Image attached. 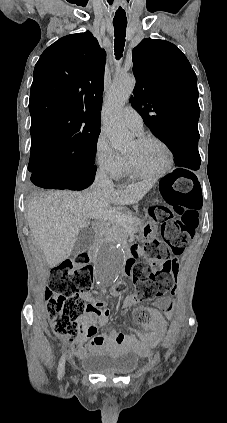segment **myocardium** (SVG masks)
<instances>
[{
    "instance_id": "f54148a6",
    "label": "myocardium",
    "mask_w": 227,
    "mask_h": 423,
    "mask_svg": "<svg viewBox=\"0 0 227 423\" xmlns=\"http://www.w3.org/2000/svg\"><path fill=\"white\" fill-rule=\"evenodd\" d=\"M136 142L138 144H146L149 142H156L159 145H161L163 147V149L166 151L167 153V162L166 165L164 166V168L159 171L158 173L155 174H149V173H144L142 171H140L133 158L127 155V159L129 162V167H130V172L135 175L136 177L145 179V180H149V181H156L159 180L163 177H165L166 175H168L171 170L173 169V166L175 164V155L174 152L171 148V146L169 145V143L164 140L163 138L157 136V135H153V134H149V135H142L140 137H138L136 139Z\"/></svg>"
}]
</instances>
